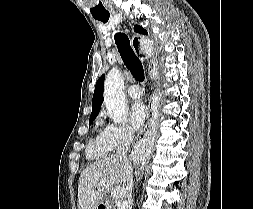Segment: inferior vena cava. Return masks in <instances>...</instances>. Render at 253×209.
<instances>
[{"instance_id": "inferior-vena-cava-1", "label": "inferior vena cava", "mask_w": 253, "mask_h": 209, "mask_svg": "<svg viewBox=\"0 0 253 209\" xmlns=\"http://www.w3.org/2000/svg\"><path fill=\"white\" fill-rule=\"evenodd\" d=\"M133 138H134V134L132 131L125 132V134L123 135V138H122V142H121L120 146L117 148V151L115 154V157L123 160L128 167V171H129L128 187H129V200L130 201L132 198V189H133V175H132L133 170L130 165V162L127 159V151L130 148ZM129 209H131L130 205H129Z\"/></svg>"}]
</instances>
